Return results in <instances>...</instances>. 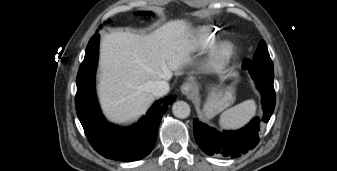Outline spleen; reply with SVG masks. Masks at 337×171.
Returning <instances> with one entry per match:
<instances>
[{
  "mask_svg": "<svg viewBox=\"0 0 337 171\" xmlns=\"http://www.w3.org/2000/svg\"><path fill=\"white\" fill-rule=\"evenodd\" d=\"M256 113L254 100H246L224 111L219 123L225 128H239L245 125Z\"/></svg>",
  "mask_w": 337,
  "mask_h": 171,
  "instance_id": "obj_1",
  "label": "spleen"
}]
</instances>
